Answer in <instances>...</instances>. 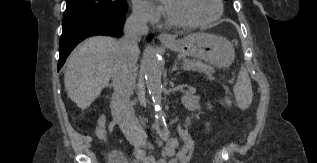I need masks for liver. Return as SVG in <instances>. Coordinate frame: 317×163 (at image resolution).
<instances>
[{"instance_id": "liver-1", "label": "liver", "mask_w": 317, "mask_h": 163, "mask_svg": "<svg viewBox=\"0 0 317 163\" xmlns=\"http://www.w3.org/2000/svg\"><path fill=\"white\" fill-rule=\"evenodd\" d=\"M118 43L112 37L94 36L85 40L69 58L64 76L68 97L86 110L109 85L118 58ZM139 49L137 51V58Z\"/></svg>"}]
</instances>
